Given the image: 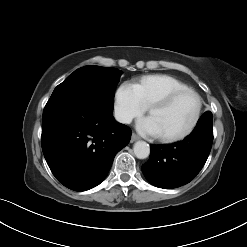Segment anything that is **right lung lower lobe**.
<instances>
[{
	"instance_id": "obj_1",
	"label": "right lung lower lobe",
	"mask_w": 247,
	"mask_h": 247,
	"mask_svg": "<svg viewBox=\"0 0 247 247\" xmlns=\"http://www.w3.org/2000/svg\"><path fill=\"white\" fill-rule=\"evenodd\" d=\"M113 106L86 96L51 99L43 111L42 150L53 175L75 191H86L106 177L115 155L131 138L116 122Z\"/></svg>"
}]
</instances>
